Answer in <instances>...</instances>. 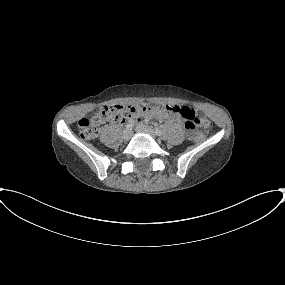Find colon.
Wrapping results in <instances>:
<instances>
[{"label":"colon","instance_id":"5ec220e1","mask_svg":"<svg viewBox=\"0 0 285 285\" xmlns=\"http://www.w3.org/2000/svg\"><path fill=\"white\" fill-rule=\"evenodd\" d=\"M182 109L185 114V125L188 136L197 140L201 133L199 127H209L210 122L202 115H197L186 108L179 106H163V105H146L137 106H119V105H103L94 114H87L79 120V133L81 138L89 140L94 138L98 133V127L113 121L119 122L127 117H140L149 113H161L166 110L176 112Z\"/></svg>","mask_w":285,"mask_h":285}]
</instances>
